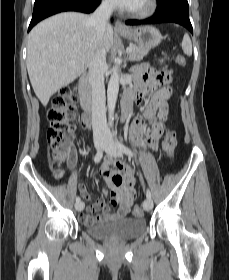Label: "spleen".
<instances>
[{
	"mask_svg": "<svg viewBox=\"0 0 229 280\" xmlns=\"http://www.w3.org/2000/svg\"><path fill=\"white\" fill-rule=\"evenodd\" d=\"M182 49L188 56L192 55V43L189 35L185 34L182 40Z\"/></svg>",
	"mask_w": 229,
	"mask_h": 280,
	"instance_id": "spleen-1",
	"label": "spleen"
}]
</instances>
